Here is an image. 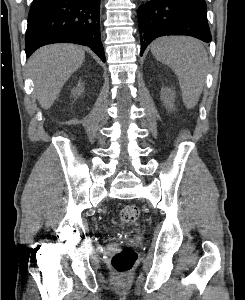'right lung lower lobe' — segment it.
<instances>
[{"label": "right lung lower lobe", "instance_id": "98d812e1", "mask_svg": "<svg viewBox=\"0 0 245 300\" xmlns=\"http://www.w3.org/2000/svg\"><path fill=\"white\" fill-rule=\"evenodd\" d=\"M100 0H33L28 15L25 52L59 42L90 47L103 62L100 42Z\"/></svg>", "mask_w": 245, "mask_h": 300}]
</instances>
